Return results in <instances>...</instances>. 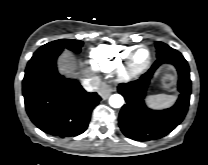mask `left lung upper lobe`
I'll return each instance as SVG.
<instances>
[{
    "instance_id": "obj_1",
    "label": "left lung upper lobe",
    "mask_w": 208,
    "mask_h": 165,
    "mask_svg": "<svg viewBox=\"0 0 208 165\" xmlns=\"http://www.w3.org/2000/svg\"><path fill=\"white\" fill-rule=\"evenodd\" d=\"M156 48H157V57L172 50V48L169 47L167 44L159 41L156 42Z\"/></svg>"
}]
</instances>
